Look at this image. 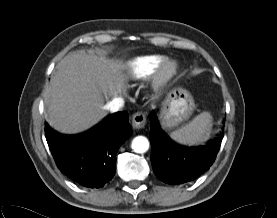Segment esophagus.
<instances>
[{"mask_svg":"<svg viewBox=\"0 0 277 218\" xmlns=\"http://www.w3.org/2000/svg\"><path fill=\"white\" fill-rule=\"evenodd\" d=\"M146 116L143 112H136L132 116V126L136 129H141L145 126Z\"/></svg>","mask_w":277,"mask_h":218,"instance_id":"esophagus-1","label":"esophagus"}]
</instances>
